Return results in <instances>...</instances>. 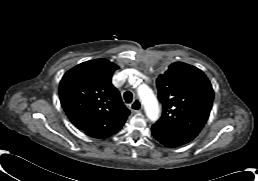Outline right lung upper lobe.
Masks as SVG:
<instances>
[{"instance_id":"1","label":"right lung upper lobe","mask_w":258,"mask_h":181,"mask_svg":"<svg viewBox=\"0 0 258 181\" xmlns=\"http://www.w3.org/2000/svg\"><path fill=\"white\" fill-rule=\"evenodd\" d=\"M118 66L106 59L81 63L63 76L60 101L70 121L86 134L123 125L130 111L111 77Z\"/></svg>"}]
</instances>
